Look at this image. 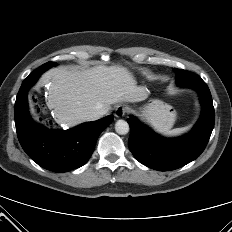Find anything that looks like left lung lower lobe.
Masks as SVG:
<instances>
[{
	"mask_svg": "<svg viewBox=\"0 0 232 232\" xmlns=\"http://www.w3.org/2000/svg\"><path fill=\"white\" fill-rule=\"evenodd\" d=\"M180 86L196 90L200 97L201 116L190 133L167 139L154 133L135 117L127 119L130 126V151L140 163L158 171L178 169L199 157L214 127L215 112L206 83L193 73L192 79Z\"/></svg>",
	"mask_w": 232,
	"mask_h": 232,
	"instance_id": "0a47b994",
	"label": "left lung lower lobe"
}]
</instances>
